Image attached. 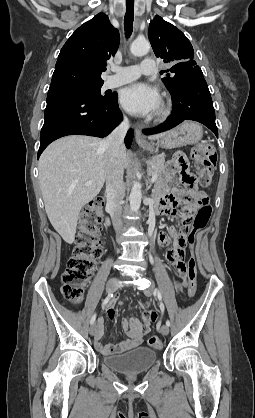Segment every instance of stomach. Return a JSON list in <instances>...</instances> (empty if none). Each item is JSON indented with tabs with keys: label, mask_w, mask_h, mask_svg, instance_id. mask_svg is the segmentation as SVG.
<instances>
[{
	"label": "stomach",
	"mask_w": 255,
	"mask_h": 418,
	"mask_svg": "<svg viewBox=\"0 0 255 418\" xmlns=\"http://www.w3.org/2000/svg\"><path fill=\"white\" fill-rule=\"evenodd\" d=\"M201 127L193 122H185L179 127L165 133L163 137L156 143L142 144L146 150L152 151L155 147L161 146L166 149L195 144L202 138Z\"/></svg>",
	"instance_id": "0dacf381"
}]
</instances>
